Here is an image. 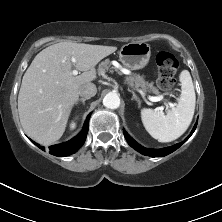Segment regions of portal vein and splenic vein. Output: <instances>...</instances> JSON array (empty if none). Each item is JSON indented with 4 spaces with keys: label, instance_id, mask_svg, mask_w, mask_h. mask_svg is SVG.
Masks as SVG:
<instances>
[{
    "label": "portal vein and splenic vein",
    "instance_id": "portal-vein-and-splenic-vein-1",
    "mask_svg": "<svg viewBox=\"0 0 222 222\" xmlns=\"http://www.w3.org/2000/svg\"><path fill=\"white\" fill-rule=\"evenodd\" d=\"M71 61H72L73 63H75V62H76V59H75V58H72ZM72 74L76 76V75H78V71H77V70H73V71H72ZM162 99H163V96H162V95H160V96H150V97H149V100L152 101V102H158V101H160V100H162ZM170 106H173V105L170 104ZM157 110L160 111L161 113H163L164 107H163V106L157 107Z\"/></svg>",
    "mask_w": 222,
    "mask_h": 222
}]
</instances>
